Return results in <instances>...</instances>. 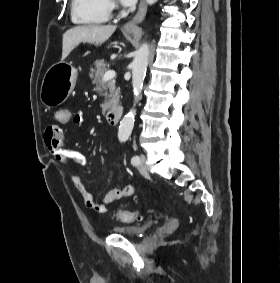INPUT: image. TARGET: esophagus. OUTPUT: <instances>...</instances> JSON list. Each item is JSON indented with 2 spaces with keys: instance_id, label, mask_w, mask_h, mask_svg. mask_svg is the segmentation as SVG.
Listing matches in <instances>:
<instances>
[{
  "instance_id": "obj_1",
  "label": "esophagus",
  "mask_w": 280,
  "mask_h": 283,
  "mask_svg": "<svg viewBox=\"0 0 280 283\" xmlns=\"http://www.w3.org/2000/svg\"><path fill=\"white\" fill-rule=\"evenodd\" d=\"M147 5L145 0H141L136 15L127 23L124 24L123 29L127 31L135 30L138 24L141 23L146 15Z\"/></svg>"
}]
</instances>
